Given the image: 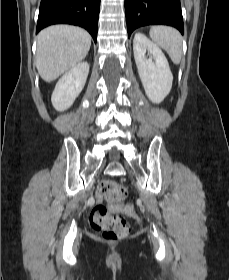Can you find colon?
I'll return each instance as SVG.
<instances>
[{"mask_svg": "<svg viewBox=\"0 0 229 280\" xmlns=\"http://www.w3.org/2000/svg\"><path fill=\"white\" fill-rule=\"evenodd\" d=\"M101 194L110 202H121L127 196V188L112 180H103ZM92 227L100 231L105 239H116L129 232L126 220L119 214H111L104 205L95 206L90 213Z\"/></svg>", "mask_w": 229, "mask_h": 280, "instance_id": "obj_1", "label": "colon"}]
</instances>
